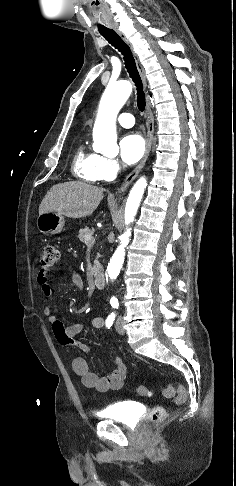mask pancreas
<instances>
[{"mask_svg": "<svg viewBox=\"0 0 236 486\" xmlns=\"http://www.w3.org/2000/svg\"><path fill=\"white\" fill-rule=\"evenodd\" d=\"M94 233V230L93 229H89L88 227H85L84 229H80L79 230V234H78V237H79V240L82 242V243H85L88 247H91L94 243V238L92 237ZM86 236H91L92 239L90 241H85V237ZM95 265H94V271H98L99 268H100V265H99V262L96 260L95 262Z\"/></svg>", "mask_w": 236, "mask_h": 486, "instance_id": "cf45deb5", "label": "pancreas"}]
</instances>
